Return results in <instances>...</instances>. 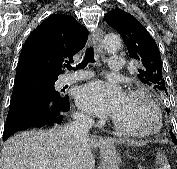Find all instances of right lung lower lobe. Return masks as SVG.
I'll use <instances>...</instances> for the list:
<instances>
[{
  "label": "right lung lower lobe",
  "mask_w": 177,
  "mask_h": 169,
  "mask_svg": "<svg viewBox=\"0 0 177 169\" xmlns=\"http://www.w3.org/2000/svg\"><path fill=\"white\" fill-rule=\"evenodd\" d=\"M57 79L38 73H16L3 132L4 141L22 129L53 126L62 122L70 103L67 96H60L54 89Z\"/></svg>",
  "instance_id": "obj_1"
}]
</instances>
